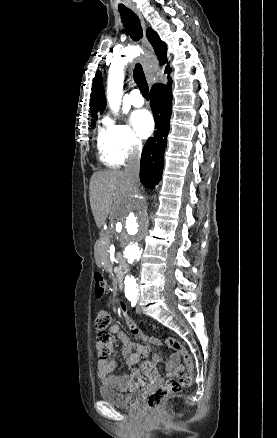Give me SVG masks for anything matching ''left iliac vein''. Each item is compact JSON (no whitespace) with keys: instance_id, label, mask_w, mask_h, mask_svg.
Returning a JSON list of instances; mask_svg holds the SVG:
<instances>
[{"instance_id":"obj_1","label":"left iliac vein","mask_w":277,"mask_h":438,"mask_svg":"<svg viewBox=\"0 0 277 438\" xmlns=\"http://www.w3.org/2000/svg\"><path fill=\"white\" fill-rule=\"evenodd\" d=\"M136 312H137V313H141V312H142V309H141V306H140V305H137V307H136Z\"/></svg>"}]
</instances>
